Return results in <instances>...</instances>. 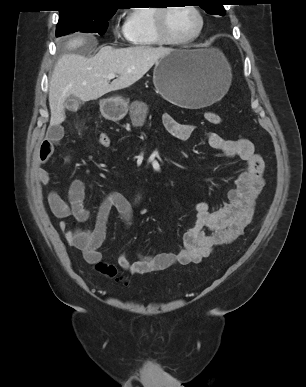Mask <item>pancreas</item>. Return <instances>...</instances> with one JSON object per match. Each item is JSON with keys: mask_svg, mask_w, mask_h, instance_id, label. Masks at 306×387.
<instances>
[{"mask_svg": "<svg viewBox=\"0 0 306 387\" xmlns=\"http://www.w3.org/2000/svg\"><path fill=\"white\" fill-rule=\"evenodd\" d=\"M136 105H139V106L141 107V109H142V111H143V114H142L141 117L144 118V117H145L146 110H147L146 105H145L144 103L134 102V103H133V106H136ZM137 115H138V112H137L136 110L132 111L131 116H132L133 118L136 117Z\"/></svg>", "mask_w": 306, "mask_h": 387, "instance_id": "obj_1", "label": "pancreas"}]
</instances>
